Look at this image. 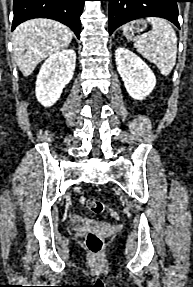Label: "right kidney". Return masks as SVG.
Returning a JSON list of instances; mask_svg holds the SVG:
<instances>
[{"mask_svg":"<svg viewBox=\"0 0 193 287\" xmlns=\"http://www.w3.org/2000/svg\"><path fill=\"white\" fill-rule=\"evenodd\" d=\"M76 62L73 49L52 54L42 65L36 80V97L44 106L50 107L60 98L63 88L71 81Z\"/></svg>","mask_w":193,"mask_h":287,"instance_id":"ca27d5eb","label":"right kidney"}]
</instances>
